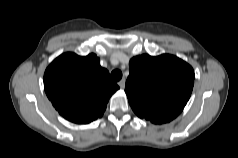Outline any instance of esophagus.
<instances>
[{"mask_svg":"<svg viewBox=\"0 0 238 158\" xmlns=\"http://www.w3.org/2000/svg\"><path fill=\"white\" fill-rule=\"evenodd\" d=\"M118 86L120 87V89H124L125 88V79H122L118 82Z\"/></svg>","mask_w":238,"mask_h":158,"instance_id":"1","label":"esophagus"}]
</instances>
